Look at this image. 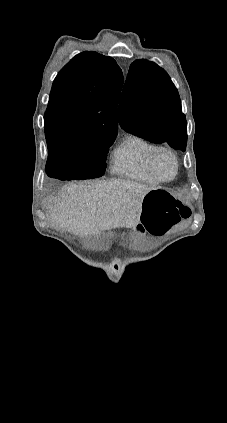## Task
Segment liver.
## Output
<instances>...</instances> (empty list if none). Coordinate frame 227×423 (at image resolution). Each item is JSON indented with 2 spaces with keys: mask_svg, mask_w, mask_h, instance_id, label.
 <instances>
[{
  "mask_svg": "<svg viewBox=\"0 0 227 423\" xmlns=\"http://www.w3.org/2000/svg\"><path fill=\"white\" fill-rule=\"evenodd\" d=\"M151 190L154 186L131 180L68 184L55 204L47 206V217L81 237L97 235L100 229L134 227L140 221L144 196Z\"/></svg>",
  "mask_w": 227,
  "mask_h": 423,
  "instance_id": "1",
  "label": "liver"
}]
</instances>
